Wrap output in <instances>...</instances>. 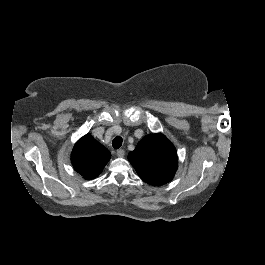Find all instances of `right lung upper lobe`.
<instances>
[{
  "instance_id": "1",
  "label": "right lung upper lobe",
  "mask_w": 265,
  "mask_h": 265,
  "mask_svg": "<svg viewBox=\"0 0 265 265\" xmlns=\"http://www.w3.org/2000/svg\"><path fill=\"white\" fill-rule=\"evenodd\" d=\"M111 157L110 152L91 134L83 136L74 146L71 162L74 169L85 179L97 177Z\"/></svg>"
}]
</instances>
